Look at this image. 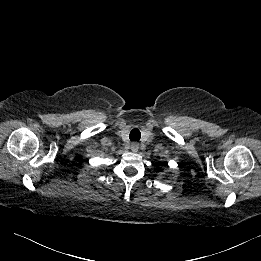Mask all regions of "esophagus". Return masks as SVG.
Returning a JSON list of instances; mask_svg holds the SVG:
<instances>
[{"mask_svg": "<svg viewBox=\"0 0 261 261\" xmlns=\"http://www.w3.org/2000/svg\"><path fill=\"white\" fill-rule=\"evenodd\" d=\"M138 149H139V144H138L137 142L131 143V150H132L133 152H137Z\"/></svg>", "mask_w": 261, "mask_h": 261, "instance_id": "esophagus-1", "label": "esophagus"}]
</instances>
